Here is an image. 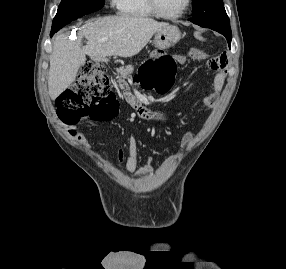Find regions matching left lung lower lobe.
Listing matches in <instances>:
<instances>
[{"instance_id": "1", "label": "left lung lower lobe", "mask_w": 286, "mask_h": 269, "mask_svg": "<svg viewBox=\"0 0 286 269\" xmlns=\"http://www.w3.org/2000/svg\"><path fill=\"white\" fill-rule=\"evenodd\" d=\"M219 33H221L222 35H224L228 41V45L230 47L231 45V39H232V33H231V30H228V29H213Z\"/></svg>"}]
</instances>
